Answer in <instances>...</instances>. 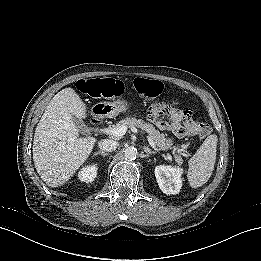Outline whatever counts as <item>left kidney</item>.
I'll return each mask as SVG.
<instances>
[{
	"instance_id": "left-kidney-1",
	"label": "left kidney",
	"mask_w": 261,
	"mask_h": 261,
	"mask_svg": "<svg viewBox=\"0 0 261 261\" xmlns=\"http://www.w3.org/2000/svg\"><path fill=\"white\" fill-rule=\"evenodd\" d=\"M158 185L165 194H178L182 187L183 169L178 166L158 165L155 167Z\"/></svg>"
}]
</instances>
